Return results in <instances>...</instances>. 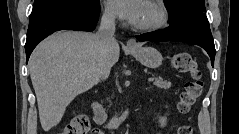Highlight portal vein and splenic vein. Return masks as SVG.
Listing matches in <instances>:
<instances>
[{
  "instance_id": "18ae733b",
  "label": "portal vein and splenic vein",
  "mask_w": 239,
  "mask_h": 134,
  "mask_svg": "<svg viewBox=\"0 0 239 134\" xmlns=\"http://www.w3.org/2000/svg\"><path fill=\"white\" fill-rule=\"evenodd\" d=\"M154 79L153 78H149L148 81H153Z\"/></svg>"
}]
</instances>
